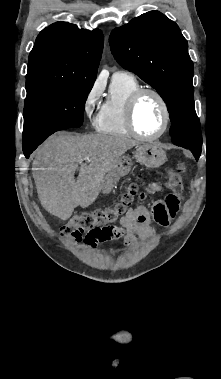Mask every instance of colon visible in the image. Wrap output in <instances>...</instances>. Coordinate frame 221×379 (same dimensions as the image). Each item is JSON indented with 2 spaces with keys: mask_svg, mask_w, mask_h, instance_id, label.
<instances>
[{
  "mask_svg": "<svg viewBox=\"0 0 221 379\" xmlns=\"http://www.w3.org/2000/svg\"><path fill=\"white\" fill-rule=\"evenodd\" d=\"M184 165L179 164L176 170L167 172L166 182L170 190H183ZM136 195V184L131 183L120 198L110 207L98 209L93 212H85L72 217L64 226L60 233L63 237L81 241L91 234L104 233L113 224L126 215L133 203Z\"/></svg>",
  "mask_w": 221,
  "mask_h": 379,
  "instance_id": "colon-1",
  "label": "colon"
}]
</instances>
